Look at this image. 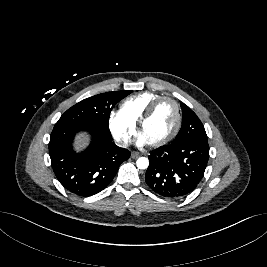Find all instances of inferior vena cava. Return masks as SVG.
I'll list each match as a JSON object with an SVG mask.
<instances>
[{
    "instance_id": "obj_1",
    "label": "inferior vena cava",
    "mask_w": 267,
    "mask_h": 267,
    "mask_svg": "<svg viewBox=\"0 0 267 267\" xmlns=\"http://www.w3.org/2000/svg\"><path fill=\"white\" fill-rule=\"evenodd\" d=\"M116 145H118L119 147H127L128 143L126 141L118 140L116 141Z\"/></svg>"
}]
</instances>
